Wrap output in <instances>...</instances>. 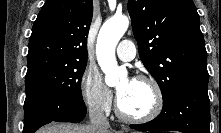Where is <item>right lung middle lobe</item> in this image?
Here are the masks:
<instances>
[{
	"mask_svg": "<svg viewBox=\"0 0 221 133\" xmlns=\"http://www.w3.org/2000/svg\"><path fill=\"white\" fill-rule=\"evenodd\" d=\"M87 62L55 65L26 75V89L35 87L53 96L82 99L81 79Z\"/></svg>",
	"mask_w": 221,
	"mask_h": 133,
	"instance_id": "obj_1",
	"label": "right lung middle lobe"
}]
</instances>
